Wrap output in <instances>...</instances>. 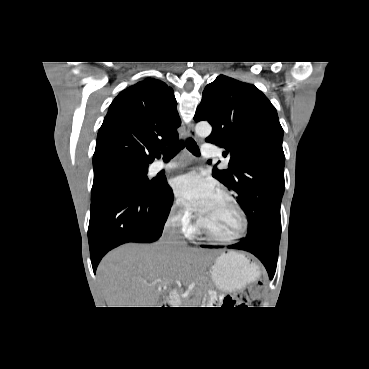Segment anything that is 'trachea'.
Wrapping results in <instances>:
<instances>
[{"label": "trachea", "mask_w": 369, "mask_h": 369, "mask_svg": "<svg viewBox=\"0 0 369 369\" xmlns=\"http://www.w3.org/2000/svg\"><path fill=\"white\" fill-rule=\"evenodd\" d=\"M186 145V148L195 156H199L200 155V150L199 147L197 146L196 142L192 139V138H188L186 140V142L184 143V141L180 140L178 142H176L174 145L167 147V148H163L162 152H163V156L165 159H171L174 156H176L180 150H182L184 148V146Z\"/></svg>", "instance_id": "1"}]
</instances>
